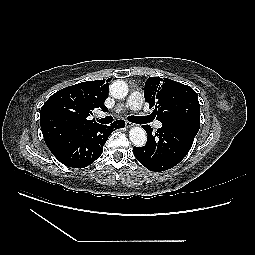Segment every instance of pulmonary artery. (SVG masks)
<instances>
[{"label": "pulmonary artery", "mask_w": 255, "mask_h": 255, "mask_svg": "<svg viewBox=\"0 0 255 255\" xmlns=\"http://www.w3.org/2000/svg\"><path fill=\"white\" fill-rule=\"evenodd\" d=\"M143 101H144L143 94L139 91H133L129 95L125 107L122 109V111L126 110L139 111L142 108ZM119 112L120 110L116 109L113 114L116 115ZM154 127L156 129H160L162 127V124L160 122H155Z\"/></svg>", "instance_id": "e3ab8cb5"}]
</instances>
